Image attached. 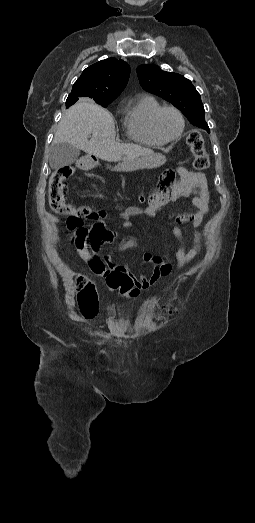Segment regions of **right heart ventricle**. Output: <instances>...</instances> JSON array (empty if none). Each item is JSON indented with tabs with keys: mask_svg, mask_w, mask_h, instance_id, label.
Here are the masks:
<instances>
[{
	"mask_svg": "<svg viewBox=\"0 0 255 523\" xmlns=\"http://www.w3.org/2000/svg\"><path fill=\"white\" fill-rule=\"evenodd\" d=\"M161 106V102L153 94H145L128 106L122 120L128 140L148 146L163 144L153 135L150 127L152 115Z\"/></svg>",
	"mask_w": 255,
	"mask_h": 523,
	"instance_id": "obj_1",
	"label": "right heart ventricle"
}]
</instances>
